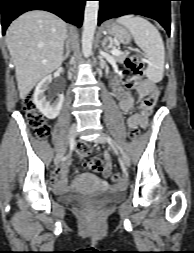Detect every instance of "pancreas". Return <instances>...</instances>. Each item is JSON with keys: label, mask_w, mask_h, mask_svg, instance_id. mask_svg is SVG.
Wrapping results in <instances>:
<instances>
[{"label": "pancreas", "mask_w": 194, "mask_h": 253, "mask_svg": "<svg viewBox=\"0 0 194 253\" xmlns=\"http://www.w3.org/2000/svg\"><path fill=\"white\" fill-rule=\"evenodd\" d=\"M127 56V53H121L120 55H114V58L118 62H123Z\"/></svg>", "instance_id": "1"}]
</instances>
